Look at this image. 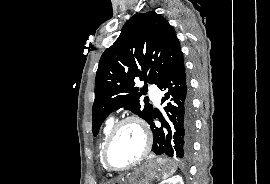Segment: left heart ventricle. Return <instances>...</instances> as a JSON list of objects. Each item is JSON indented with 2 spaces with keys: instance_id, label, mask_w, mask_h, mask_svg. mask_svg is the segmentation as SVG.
<instances>
[{
  "instance_id": "1",
  "label": "left heart ventricle",
  "mask_w": 270,
  "mask_h": 184,
  "mask_svg": "<svg viewBox=\"0 0 270 184\" xmlns=\"http://www.w3.org/2000/svg\"><path fill=\"white\" fill-rule=\"evenodd\" d=\"M144 148V137L139 127L127 123L118 131L109 152L108 161L114 167H124L135 161Z\"/></svg>"
}]
</instances>
